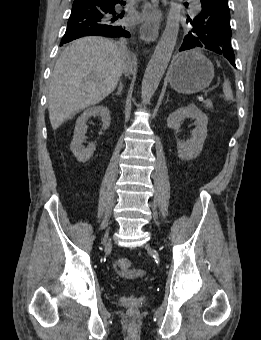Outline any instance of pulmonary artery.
I'll return each mask as SVG.
<instances>
[{
    "label": "pulmonary artery",
    "mask_w": 261,
    "mask_h": 340,
    "mask_svg": "<svg viewBox=\"0 0 261 340\" xmlns=\"http://www.w3.org/2000/svg\"><path fill=\"white\" fill-rule=\"evenodd\" d=\"M192 1V5L195 7V10L198 11L199 7V2L198 0H190Z\"/></svg>",
    "instance_id": "e3ab8cb5"
}]
</instances>
